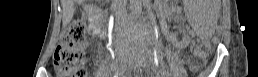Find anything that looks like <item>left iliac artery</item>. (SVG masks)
<instances>
[{"label":"left iliac artery","instance_id":"44dca946","mask_svg":"<svg viewBox=\"0 0 258 77\" xmlns=\"http://www.w3.org/2000/svg\"><path fill=\"white\" fill-rule=\"evenodd\" d=\"M159 53H161L160 50H154V55H155V58H156V59H157V58L159 59ZM145 55H146L147 57L150 56L149 52L146 53Z\"/></svg>","mask_w":258,"mask_h":77}]
</instances>
